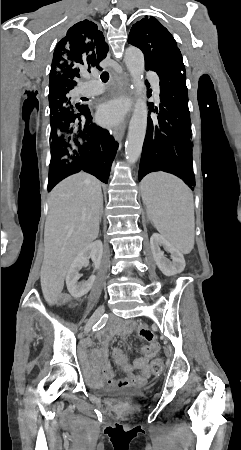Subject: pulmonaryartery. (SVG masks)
<instances>
[{
	"label": "pulmonary artery",
	"instance_id": "pulmonary-artery-1",
	"mask_svg": "<svg viewBox=\"0 0 241 450\" xmlns=\"http://www.w3.org/2000/svg\"><path fill=\"white\" fill-rule=\"evenodd\" d=\"M145 78L147 79V82H148L149 84H151V86H152L153 88H156V89L154 90V93H155L156 95H159V94L161 93V90L158 88L160 85L156 82V79L158 78V73H157L156 71H147V72L145 73ZM89 85H90L91 87H98V86L100 85V80H99L98 78H91V79L89 80ZM101 89H102V90H105V89H106V86H105V85H102V86H101Z\"/></svg>",
	"mask_w": 241,
	"mask_h": 450
}]
</instances>
